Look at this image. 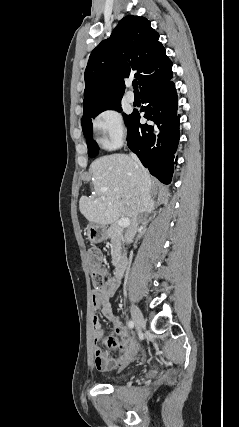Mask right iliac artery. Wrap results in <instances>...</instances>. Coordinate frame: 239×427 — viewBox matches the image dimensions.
<instances>
[{"mask_svg": "<svg viewBox=\"0 0 239 427\" xmlns=\"http://www.w3.org/2000/svg\"><path fill=\"white\" fill-rule=\"evenodd\" d=\"M128 326H129V328H133L134 327V322L132 320H130L128 322Z\"/></svg>", "mask_w": 239, "mask_h": 427, "instance_id": "obj_1", "label": "right iliac artery"}]
</instances>
